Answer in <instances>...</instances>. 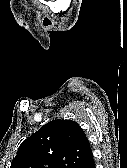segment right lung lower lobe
<instances>
[{
    "label": "right lung lower lobe",
    "instance_id": "right-lung-lower-lobe-1",
    "mask_svg": "<svg viewBox=\"0 0 127 168\" xmlns=\"http://www.w3.org/2000/svg\"><path fill=\"white\" fill-rule=\"evenodd\" d=\"M75 168H95L93 157L79 163L78 165L75 166Z\"/></svg>",
    "mask_w": 127,
    "mask_h": 168
}]
</instances>
